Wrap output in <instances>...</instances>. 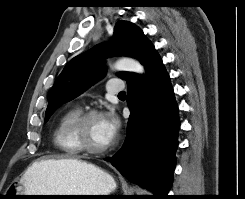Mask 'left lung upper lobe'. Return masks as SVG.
<instances>
[{"instance_id":"1","label":"left lung upper lobe","mask_w":245,"mask_h":199,"mask_svg":"<svg viewBox=\"0 0 245 199\" xmlns=\"http://www.w3.org/2000/svg\"><path fill=\"white\" fill-rule=\"evenodd\" d=\"M156 51L143 32L133 23L120 21L114 29L112 44L100 45L70 60L56 79L45 114V123L62 104L74 99L104 75L103 60L109 56L124 55L138 59L145 65L149 55ZM118 76L129 81L137 76L120 72Z\"/></svg>"}]
</instances>
